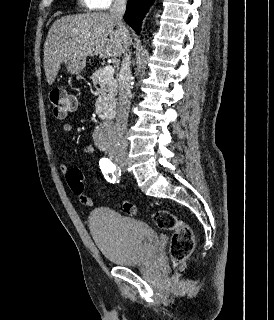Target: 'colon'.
<instances>
[{"mask_svg": "<svg viewBox=\"0 0 274 320\" xmlns=\"http://www.w3.org/2000/svg\"><path fill=\"white\" fill-rule=\"evenodd\" d=\"M49 102L52 106L53 116L58 120H63L69 113L75 110L76 102L73 97L66 93L64 88H53L49 92ZM66 179L71 190L84 197L83 182H86V175H82L79 168H71L66 172ZM120 208L123 214L135 216L136 206L129 201H122ZM155 224L164 231H170L172 242L170 255L174 265L182 264L193 252L195 241L190 226L183 220L178 219L168 210H163L153 215Z\"/></svg>", "mask_w": 274, "mask_h": 320, "instance_id": "colon-1", "label": "colon"}]
</instances>
